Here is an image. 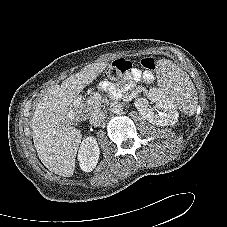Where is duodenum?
<instances>
[{
  "mask_svg": "<svg viewBox=\"0 0 227 227\" xmlns=\"http://www.w3.org/2000/svg\"><path fill=\"white\" fill-rule=\"evenodd\" d=\"M70 118L75 123H78L79 122L78 115L76 113H72V115H71Z\"/></svg>",
  "mask_w": 227,
  "mask_h": 227,
  "instance_id": "obj_1",
  "label": "duodenum"
}]
</instances>
